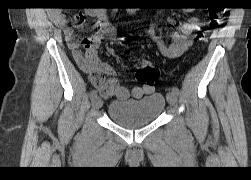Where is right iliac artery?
Returning a JSON list of instances; mask_svg holds the SVG:
<instances>
[{
	"mask_svg": "<svg viewBox=\"0 0 251 180\" xmlns=\"http://www.w3.org/2000/svg\"><path fill=\"white\" fill-rule=\"evenodd\" d=\"M96 96H97V91H96V90H92V91L90 92V98L93 99V98L96 97Z\"/></svg>",
	"mask_w": 251,
	"mask_h": 180,
	"instance_id": "82829eb1",
	"label": "right iliac artery"
}]
</instances>
